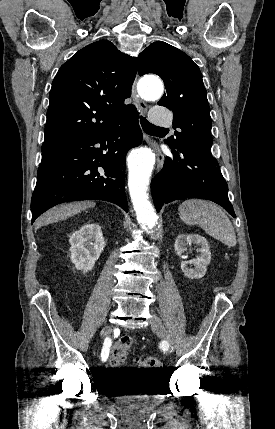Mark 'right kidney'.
<instances>
[{"instance_id":"right-kidney-1","label":"right kidney","mask_w":275,"mask_h":429,"mask_svg":"<svg viewBox=\"0 0 275 429\" xmlns=\"http://www.w3.org/2000/svg\"><path fill=\"white\" fill-rule=\"evenodd\" d=\"M70 258L76 269L88 272L93 269L105 247L101 227L98 224H85L71 234L69 240Z\"/></svg>"}]
</instances>
